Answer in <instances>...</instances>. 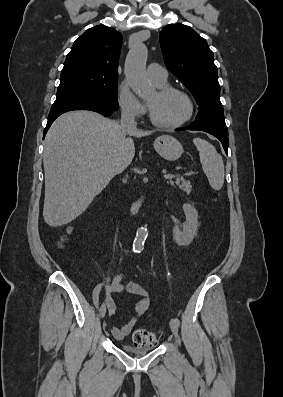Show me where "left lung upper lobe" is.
<instances>
[{
	"mask_svg": "<svg viewBox=\"0 0 283 397\" xmlns=\"http://www.w3.org/2000/svg\"><path fill=\"white\" fill-rule=\"evenodd\" d=\"M159 39L167 69L192 92L199 105L196 120L225 123L218 70L206 40L183 24L164 27Z\"/></svg>",
	"mask_w": 283,
	"mask_h": 397,
	"instance_id": "left-lung-upper-lobe-1",
	"label": "left lung upper lobe"
}]
</instances>
